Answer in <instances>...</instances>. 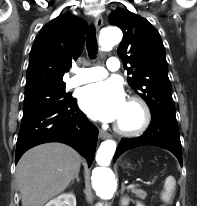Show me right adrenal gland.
<instances>
[{
  "mask_svg": "<svg viewBox=\"0 0 197 206\" xmlns=\"http://www.w3.org/2000/svg\"><path fill=\"white\" fill-rule=\"evenodd\" d=\"M75 179H76V181H77L78 183L80 182V179H79V172L76 173L75 177L72 179L71 184H74Z\"/></svg>",
  "mask_w": 197,
  "mask_h": 206,
  "instance_id": "right-adrenal-gland-1",
  "label": "right adrenal gland"
}]
</instances>
